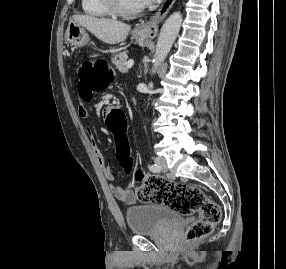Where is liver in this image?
Returning <instances> with one entry per match:
<instances>
[{
    "mask_svg": "<svg viewBox=\"0 0 286 269\" xmlns=\"http://www.w3.org/2000/svg\"><path fill=\"white\" fill-rule=\"evenodd\" d=\"M71 20L93 33L98 39L109 44L124 41L131 29L130 25L123 22L97 18L92 15H73Z\"/></svg>",
    "mask_w": 286,
    "mask_h": 269,
    "instance_id": "6515ba94",
    "label": "liver"
}]
</instances>
